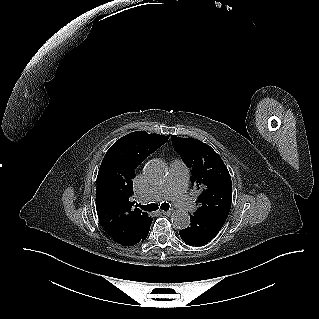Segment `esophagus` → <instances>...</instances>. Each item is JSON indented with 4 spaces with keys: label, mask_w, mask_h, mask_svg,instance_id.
Listing matches in <instances>:
<instances>
[{
    "label": "esophagus",
    "mask_w": 319,
    "mask_h": 319,
    "mask_svg": "<svg viewBox=\"0 0 319 319\" xmlns=\"http://www.w3.org/2000/svg\"><path fill=\"white\" fill-rule=\"evenodd\" d=\"M160 213L163 214V215H171L172 211L161 210Z\"/></svg>",
    "instance_id": "obj_1"
}]
</instances>
